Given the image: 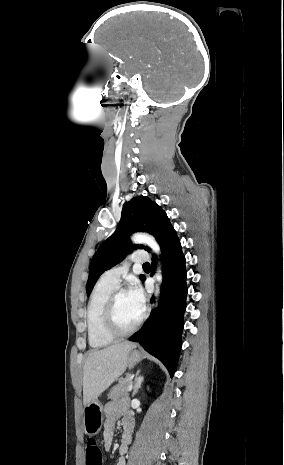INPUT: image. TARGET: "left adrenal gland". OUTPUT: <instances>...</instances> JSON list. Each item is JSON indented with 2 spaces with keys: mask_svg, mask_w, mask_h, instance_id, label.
<instances>
[{
  "mask_svg": "<svg viewBox=\"0 0 284 465\" xmlns=\"http://www.w3.org/2000/svg\"><path fill=\"white\" fill-rule=\"evenodd\" d=\"M139 373H140V371H137V373L135 375V381L133 383L134 387H133L132 397H135L136 393H138V389H141V383L143 381V377H140Z\"/></svg>",
  "mask_w": 284,
  "mask_h": 465,
  "instance_id": "a2214340",
  "label": "left adrenal gland"
}]
</instances>
